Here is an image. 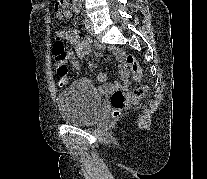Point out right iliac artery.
Instances as JSON below:
<instances>
[{
    "label": "right iliac artery",
    "instance_id": "right-iliac-artery-1",
    "mask_svg": "<svg viewBox=\"0 0 207 179\" xmlns=\"http://www.w3.org/2000/svg\"><path fill=\"white\" fill-rule=\"evenodd\" d=\"M80 11H81V7H80V6H74V12H75L76 14H79Z\"/></svg>",
    "mask_w": 207,
    "mask_h": 179
}]
</instances>
